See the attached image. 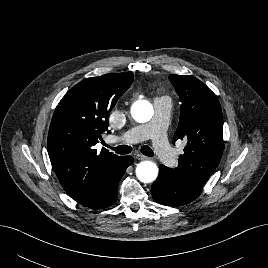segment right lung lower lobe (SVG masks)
I'll list each match as a JSON object with an SVG mask.
<instances>
[{"mask_svg": "<svg viewBox=\"0 0 268 268\" xmlns=\"http://www.w3.org/2000/svg\"><path fill=\"white\" fill-rule=\"evenodd\" d=\"M131 156L120 157L108 170L100 184L98 185L94 195L82 203V205L93 208L102 209L116 202L118 193V184L128 166L133 163Z\"/></svg>", "mask_w": 268, "mask_h": 268, "instance_id": "1", "label": "right lung lower lobe"}]
</instances>
